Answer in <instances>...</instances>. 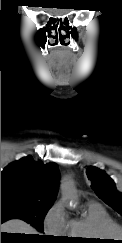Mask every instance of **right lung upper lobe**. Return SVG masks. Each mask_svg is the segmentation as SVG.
I'll return each mask as SVG.
<instances>
[{
    "label": "right lung upper lobe",
    "mask_w": 122,
    "mask_h": 243,
    "mask_svg": "<svg viewBox=\"0 0 122 243\" xmlns=\"http://www.w3.org/2000/svg\"><path fill=\"white\" fill-rule=\"evenodd\" d=\"M58 173L56 163L44 164L31 156L24 157L1 172V196L53 203L58 193Z\"/></svg>",
    "instance_id": "1"
}]
</instances>
